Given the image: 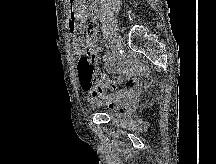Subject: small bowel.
<instances>
[{
    "label": "small bowel",
    "mask_w": 216,
    "mask_h": 164,
    "mask_svg": "<svg viewBox=\"0 0 216 164\" xmlns=\"http://www.w3.org/2000/svg\"><path fill=\"white\" fill-rule=\"evenodd\" d=\"M84 49L93 61H97L99 47L97 45V28L94 24L87 27ZM76 54H80L77 50ZM107 68L112 73H123L127 77V89H119L118 86L123 82L121 77H109L104 75L100 86L89 92L88 100L94 107L106 106L111 110L126 113L132 109L139 94L140 82L136 76L140 74L141 68L135 66L128 59L118 61H108Z\"/></svg>",
    "instance_id": "small-bowel-1"
}]
</instances>
